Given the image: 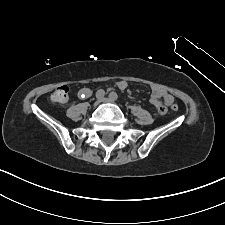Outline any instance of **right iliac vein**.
<instances>
[{"label": "right iliac vein", "instance_id": "63e3f726", "mask_svg": "<svg viewBox=\"0 0 225 225\" xmlns=\"http://www.w3.org/2000/svg\"><path fill=\"white\" fill-rule=\"evenodd\" d=\"M100 103H101V99H97V100L94 102V106L97 107Z\"/></svg>", "mask_w": 225, "mask_h": 225}]
</instances>
